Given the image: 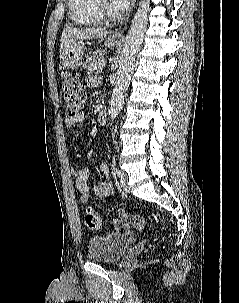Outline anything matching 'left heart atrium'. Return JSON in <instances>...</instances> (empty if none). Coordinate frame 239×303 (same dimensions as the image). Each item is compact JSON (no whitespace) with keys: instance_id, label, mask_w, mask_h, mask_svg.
<instances>
[{"instance_id":"39dd6f15","label":"left heart atrium","mask_w":239,"mask_h":303,"mask_svg":"<svg viewBox=\"0 0 239 303\" xmlns=\"http://www.w3.org/2000/svg\"><path fill=\"white\" fill-rule=\"evenodd\" d=\"M115 8L123 10L130 6L133 0H111Z\"/></svg>"}]
</instances>
